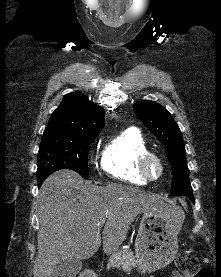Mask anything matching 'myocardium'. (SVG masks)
<instances>
[{
  "mask_svg": "<svg viewBox=\"0 0 221 277\" xmlns=\"http://www.w3.org/2000/svg\"><path fill=\"white\" fill-rule=\"evenodd\" d=\"M151 162H156L159 166V174L157 177H153L149 172V166ZM138 169L140 174L147 180V181H158L165 172V165L162 158L153 152L145 153L138 161Z\"/></svg>",
  "mask_w": 221,
  "mask_h": 277,
  "instance_id": "f54148a6",
  "label": "myocardium"
}]
</instances>
